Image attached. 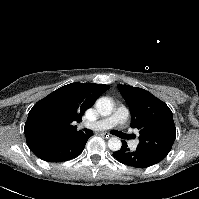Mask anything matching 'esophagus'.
<instances>
[{
    "instance_id": "obj_1",
    "label": "esophagus",
    "mask_w": 199,
    "mask_h": 199,
    "mask_svg": "<svg viewBox=\"0 0 199 199\" xmlns=\"http://www.w3.org/2000/svg\"><path fill=\"white\" fill-rule=\"evenodd\" d=\"M102 135L104 136L106 135V138H109V135H107L106 133H102Z\"/></svg>"
}]
</instances>
